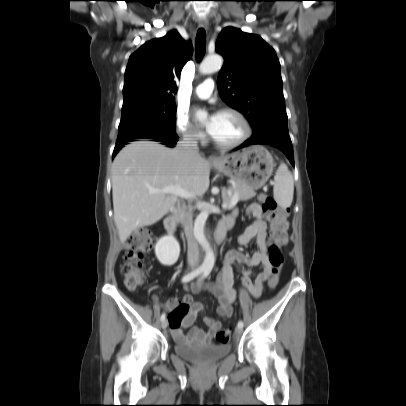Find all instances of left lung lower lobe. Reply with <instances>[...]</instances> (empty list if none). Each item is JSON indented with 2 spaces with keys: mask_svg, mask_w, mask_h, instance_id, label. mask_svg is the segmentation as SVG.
<instances>
[{
  "mask_svg": "<svg viewBox=\"0 0 406 406\" xmlns=\"http://www.w3.org/2000/svg\"><path fill=\"white\" fill-rule=\"evenodd\" d=\"M257 144L272 145L273 147L278 148L287 155L292 165H294L292 143L290 137L287 136H281L277 134H262L258 136H252L250 139L245 141L242 145H240L234 150H239L249 145H257Z\"/></svg>",
  "mask_w": 406,
  "mask_h": 406,
  "instance_id": "0a47b994",
  "label": "left lung lower lobe"
}]
</instances>
